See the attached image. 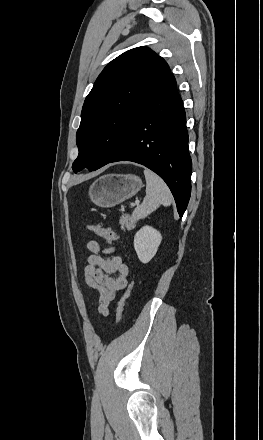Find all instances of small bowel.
I'll list each match as a JSON object with an SVG mask.
<instances>
[{"label":"small bowel","instance_id":"small-bowel-1","mask_svg":"<svg viewBox=\"0 0 263 440\" xmlns=\"http://www.w3.org/2000/svg\"><path fill=\"white\" fill-rule=\"evenodd\" d=\"M92 253L84 268V282L97 296L99 312L107 316L115 296L127 287L128 266L114 248L104 249L97 241L87 243Z\"/></svg>","mask_w":263,"mask_h":440}]
</instances>
